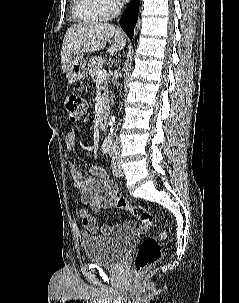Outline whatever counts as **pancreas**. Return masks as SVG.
<instances>
[{"mask_svg":"<svg viewBox=\"0 0 239 303\" xmlns=\"http://www.w3.org/2000/svg\"><path fill=\"white\" fill-rule=\"evenodd\" d=\"M104 62H105V60L101 56H94V57L90 58V60L88 62L87 72L89 73V75L91 76L93 81L98 80L97 72L102 69ZM108 94H109L108 80H105L104 86H103V102L104 103L107 102Z\"/></svg>","mask_w":239,"mask_h":303,"instance_id":"obj_1","label":"pancreas"}]
</instances>
